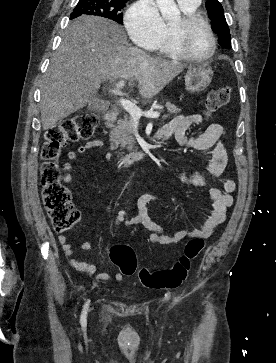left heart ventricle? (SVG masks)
Masks as SVG:
<instances>
[{"label":"left heart ventricle","mask_w":276,"mask_h":363,"mask_svg":"<svg viewBox=\"0 0 276 363\" xmlns=\"http://www.w3.org/2000/svg\"><path fill=\"white\" fill-rule=\"evenodd\" d=\"M185 43L189 51L196 55H205L211 49V39L203 24H197L191 28Z\"/></svg>","instance_id":"left-heart-ventricle-1"}]
</instances>
